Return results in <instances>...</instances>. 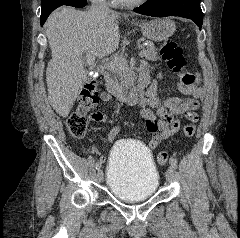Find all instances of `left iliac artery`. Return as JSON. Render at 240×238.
I'll return each instance as SVG.
<instances>
[{
  "label": "left iliac artery",
  "mask_w": 240,
  "mask_h": 238,
  "mask_svg": "<svg viewBox=\"0 0 240 238\" xmlns=\"http://www.w3.org/2000/svg\"><path fill=\"white\" fill-rule=\"evenodd\" d=\"M170 164H171V167H173V168H177V161H176V159H174V158H170Z\"/></svg>",
  "instance_id": "left-iliac-artery-1"
}]
</instances>
